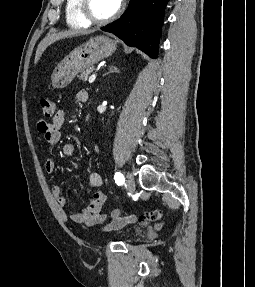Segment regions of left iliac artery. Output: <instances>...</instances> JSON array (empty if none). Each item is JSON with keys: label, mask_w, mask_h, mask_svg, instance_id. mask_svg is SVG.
<instances>
[{"label": "left iliac artery", "mask_w": 255, "mask_h": 287, "mask_svg": "<svg viewBox=\"0 0 255 287\" xmlns=\"http://www.w3.org/2000/svg\"><path fill=\"white\" fill-rule=\"evenodd\" d=\"M114 179H115V182H116L118 185L124 184V181H125V180H124V176H123V174H121L120 172L115 173Z\"/></svg>", "instance_id": "44dca946"}]
</instances>
